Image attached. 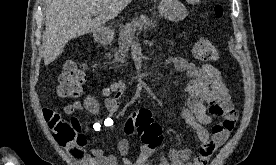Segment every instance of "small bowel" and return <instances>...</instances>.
<instances>
[{"label": "small bowel", "mask_w": 276, "mask_h": 165, "mask_svg": "<svg viewBox=\"0 0 276 165\" xmlns=\"http://www.w3.org/2000/svg\"><path fill=\"white\" fill-rule=\"evenodd\" d=\"M177 71L184 72L189 78L186 86L187 102L181 115L187 125L192 128L202 142L199 154L191 160L188 150H172L159 158L158 165H207L210 158L228 139L238 119V112L230 101L228 90L223 82L220 71L211 64L201 66L183 57L175 56L167 60ZM125 92V82L118 80L110 83L101 90L104 97V108L108 117L100 122H94L91 128L99 131L113 125L115 115L121 104ZM85 109L92 115L101 111V103L94 95H87L83 101H74L63 108L70 120L79 124L74 113ZM54 111L44 109L46 121L47 114ZM214 117L221 120L212 127L210 135L206 125L211 124ZM81 128V127H80ZM86 139L82 135L81 144L64 146L68 154L77 165H152V150L144 147L139 156L132 160L127 157L130 143L127 139H120L117 143L116 154H105L101 149H85Z\"/></svg>", "instance_id": "obj_1"}]
</instances>
